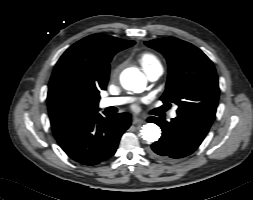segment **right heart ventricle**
I'll use <instances>...</instances> for the list:
<instances>
[{
  "label": "right heart ventricle",
  "mask_w": 253,
  "mask_h": 200,
  "mask_svg": "<svg viewBox=\"0 0 253 200\" xmlns=\"http://www.w3.org/2000/svg\"><path fill=\"white\" fill-rule=\"evenodd\" d=\"M139 62L143 69L153 67L155 65H161L159 59L149 52L142 53L139 57Z\"/></svg>",
  "instance_id": "obj_1"
}]
</instances>
